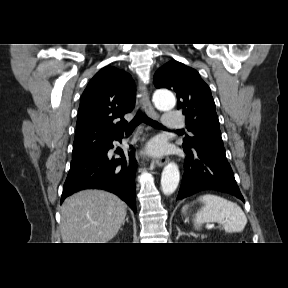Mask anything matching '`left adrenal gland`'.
<instances>
[{"label":"left adrenal gland","instance_id":"obj_1","mask_svg":"<svg viewBox=\"0 0 288 288\" xmlns=\"http://www.w3.org/2000/svg\"><path fill=\"white\" fill-rule=\"evenodd\" d=\"M177 231H178V237H180L181 235H188L185 232H181L179 227H177Z\"/></svg>","mask_w":288,"mask_h":288}]
</instances>
